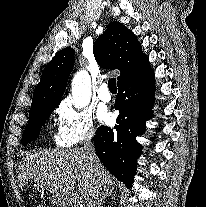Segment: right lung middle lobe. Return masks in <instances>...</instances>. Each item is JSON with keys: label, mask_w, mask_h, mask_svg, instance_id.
I'll return each mask as SVG.
<instances>
[{"label": "right lung middle lobe", "mask_w": 206, "mask_h": 207, "mask_svg": "<svg viewBox=\"0 0 206 207\" xmlns=\"http://www.w3.org/2000/svg\"><path fill=\"white\" fill-rule=\"evenodd\" d=\"M57 106L58 104H47L29 112V121L22 137L24 146L38 137L41 127Z\"/></svg>", "instance_id": "right-lung-middle-lobe-1"}]
</instances>
